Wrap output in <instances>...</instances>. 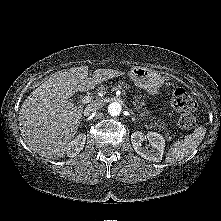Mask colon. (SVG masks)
<instances>
[{"label": "colon", "mask_w": 221, "mask_h": 221, "mask_svg": "<svg viewBox=\"0 0 221 221\" xmlns=\"http://www.w3.org/2000/svg\"><path fill=\"white\" fill-rule=\"evenodd\" d=\"M173 104L183 114L180 118V126L184 129H191L195 126L193 111L196 103L184 88H177L173 95Z\"/></svg>", "instance_id": "colon-1"}]
</instances>
